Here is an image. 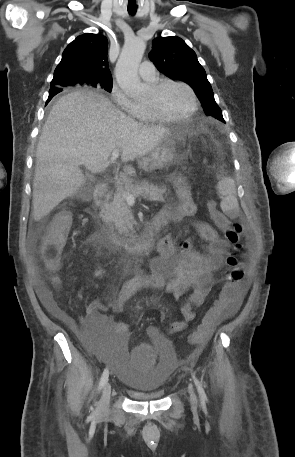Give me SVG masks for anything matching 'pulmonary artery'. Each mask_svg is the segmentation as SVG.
Listing matches in <instances>:
<instances>
[{
  "instance_id": "pulmonary-artery-1",
  "label": "pulmonary artery",
  "mask_w": 295,
  "mask_h": 457,
  "mask_svg": "<svg viewBox=\"0 0 295 457\" xmlns=\"http://www.w3.org/2000/svg\"><path fill=\"white\" fill-rule=\"evenodd\" d=\"M139 75L143 80L153 82L157 79V74L153 63L144 61L139 67Z\"/></svg>"
}]
</instances>
